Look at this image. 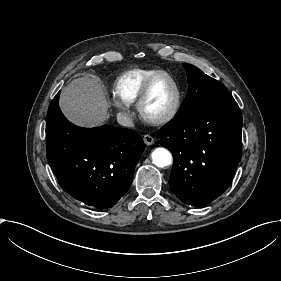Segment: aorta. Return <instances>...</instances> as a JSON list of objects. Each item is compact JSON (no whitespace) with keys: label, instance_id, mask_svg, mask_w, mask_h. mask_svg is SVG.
I'll use <instances>...</instances> for the list:
<instances>
[{"label":"aorta","instance_id":"aorta-1","mask_svg":"<svg viewBox=\"0 0 281 281\" xmlns=\"http://www.w3.org/2000/svg\"><path fill=\"white\" fill-rule=\"evenodd\" d=\"M152 162L157 167L163 168L172 163V155L169 150L163 147L156 148L152 154Z\"/></svg>","mask_w":281,"mask_h":281}]
</instances>
